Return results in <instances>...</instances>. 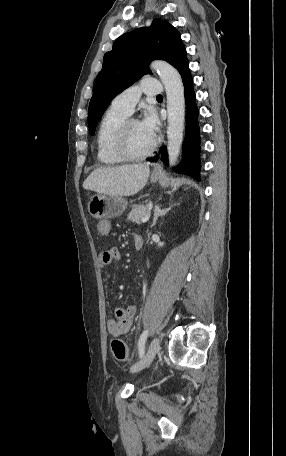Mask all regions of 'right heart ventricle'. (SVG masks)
Returning <instances> with one entry per match:
<instances>
[{
	"label": "right heart ventricle",
	"instance_id": "1",
	"mask_svg": "<svg viewBox=\"0 0 286 456\" xmlns=\"http://www.w3.org/2000/svg\"><path fill=\"white\" fill-rule=\"evenodd\" d=\"M128 117L112 106L104 114L96 135V153L100 163L108 166L123 162L115 151V137L120 124Z\"/></svg>",
	"mask_w": 286,
	"mask_h": 456
}]
</instances>
